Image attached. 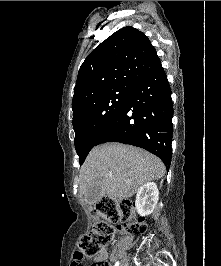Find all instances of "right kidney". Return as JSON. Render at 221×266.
I'll use <instances>...</instances> for the list:
<instances>
[{
    "label": "right kidney",
    "mask_w": 221,
    "mask_h": 266,
    "mask_svg": "<svg viewBox=\"0 0 221 266\" xmlns=\"http://www.w3.org/2000/svg\"><path fill=\"white\" fill-rule=\"evenodd\" d=\"M159 190L156 183L148 182L142 185L137 192L135 206L141 216L151 214L158 202Z\"/></svg>",
    "instance_id": "obj_1"
}]
</instances>
